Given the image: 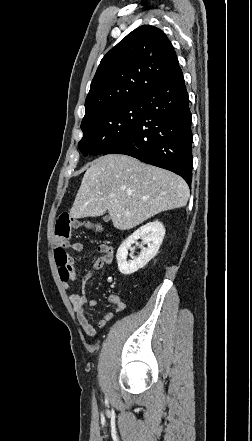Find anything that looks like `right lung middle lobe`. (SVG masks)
<instances>
[{
  "label": "right lung middle lobe",
  "instance_id": "1",
  "mask_svg": "<svg viewBox=\"0 0 252 441\" xmlns=\"http://www.w3.org/2000/svg\"><path fill=\"white\" fill-rule=\"evenodd\" d=\"M142 106L141 99H136L83 120L79 150L84 156L103 154L137 125L143 112Z\"/></svg>",
  "mask_w": 252,
  "mask_h": 441
}]
</instances>
